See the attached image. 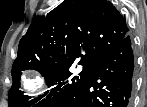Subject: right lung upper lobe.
I'll list each match as a JSON object with an SVG mask.
<instances>
[{"label": "right lung upper lobe", "mask_w": 147, "mask_h": 107, "mask_svg": "<svg viewBox=\"0 0 147 107\" xmlns=\"http://www.w3.org/2000/svg\"><path fill=\"white\" fill-rule=\"evenodd\" d=\"M127 34L126 20L111 2L64 0L46 18L33 19L12 69L29 63L60 68L79 57V64L95 67Z\"/></svg>", "instance_id": "cb5924a9"}]
</instances>
